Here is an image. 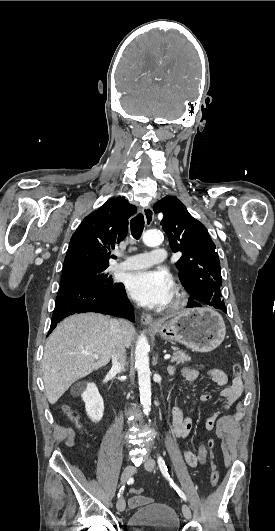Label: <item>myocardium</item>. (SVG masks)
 Segmentation results:
<instances>
[{
  "label": "myocardium",
  "mask_w": 275,
  "mask_h": 531,
  "mask_svg": "<svg viewBox=\"0 0 275 531\" xmlns=\"http://www.w3.org/2000/svg\"><path fill=\"white\" fill-rule=\"evenodd\" d=\"M185 293L184 291L177 285L173 286L172 288V297L167 303V309L169 311H175L181 308L185 303Z\"/></svg>",
  "instance_id": "f54148a6"
}]
</instances>
